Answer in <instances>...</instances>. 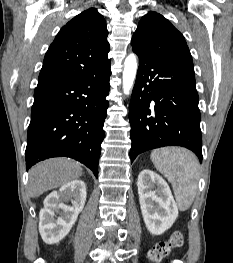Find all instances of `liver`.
I'll list each match as a JSON object with an SVG mask.
<instances>
[{
  "mask_svg": "<svg viewBox=\"0 0 233 263\" xmlns=\"http://www.w3.org/2000/svg\"><path fill=\"white\" fill-rule=\"evenodd\" d=\"M82 168L77 162L67 158H53L40 162L29 172L28 193L38 197L47 190L59 188L78 179Z\"/></svg>",
  "mask_w": 233,
  "mask_h": 263,
  "instance_id": "1",
  "label": "liver"
}]
</instances>
